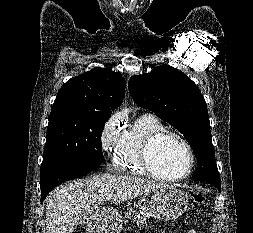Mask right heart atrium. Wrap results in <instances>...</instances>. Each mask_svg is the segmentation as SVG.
<instances>
[{"label":"right heart atrium","mask_w":253,"mask_h":233,"mask_svg":"<svg viewBox=\"0 0 253 233\" xmlns=\"http://www.w3.org/2000/svg\"><path fill=\"white\" fill-rule=\"evenodd\" d=\"M122 132V117L120 114L111 116L103 126L100 145L103 152H109L115 145Z\"/></svg>","instance_id":"obj_1"}]
</instances>
